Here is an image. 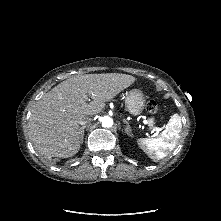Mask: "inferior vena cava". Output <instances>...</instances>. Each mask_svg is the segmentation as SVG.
Here are the masks:
<instances>
[{
  "label": "inferior vena cava",
  "mask_w": 221,
  "mask_h": 221,
  "mask_svg": "<svg viewBox=\"0 0 221 221\" xmlns=\"http://www.w3.org/2000/svg\"><path fill=\"white\" fill-rule=\"evenodd\" d=\"M92 118H93L92 115H85V116L81 117V119L79 120V124L85 125V124L89 123L90 121H92Z\"/></svg>",
  "instance_id": "1"
}]
</instances>
